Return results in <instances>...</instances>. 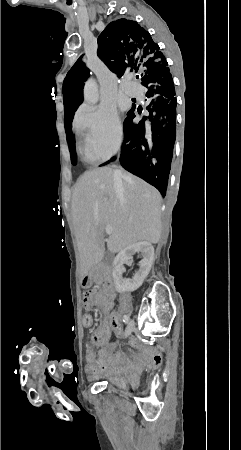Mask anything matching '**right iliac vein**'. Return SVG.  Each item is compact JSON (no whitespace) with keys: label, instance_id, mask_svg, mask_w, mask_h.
<instances>
[{"label":"right iliac vein","instance_id":"right-iliac-vein-1","mask_svg":"<svg viewBox=\"0 0 241 450\" xmlns=\"http://www.w3.org/2000/svg\"><path fill=\"white\" fill-rule=\"evenodd\" d=\"M133 329H134V322L131 320V321H129V323L127 325V328L125 330V335L129 336L132 333Z\"/></svg>","mask_w":241,"mask_h":450}]
</instances>
